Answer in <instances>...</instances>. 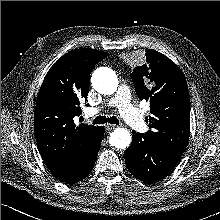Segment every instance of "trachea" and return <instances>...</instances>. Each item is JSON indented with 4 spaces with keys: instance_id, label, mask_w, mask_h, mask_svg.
Masks as SVG:
<instances>
[{
    "instance_id": "obj_1",
    "label": "trachea",
    "mask_w": 220,
    "mask_h": 220,
    "mask_svg": "<svg viewBox=\"0 0 220 220\" xmlns=\"http://www.w3.org/2000/svg\"><path fill=\"white\" fill-rule=\"evenodd\" d=\"M110 123V124H119V120L117 117L112 116L110 118H107L105 116H97L94 120H93V124H104V123Z\"/></svg>"
}]
</instances>
